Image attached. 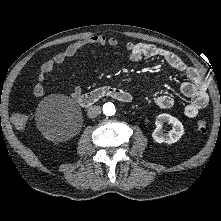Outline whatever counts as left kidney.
<instances>
[{
    "instance_id": "left-kidney-1",
    "label": "left kidney",
    "mask_w": 221,
    "mask_h": 221,
    "mask_svg": "<svg viewBox=\"0 0 221 221\" xmlns=\"http://www.w3.org/2000/svg\"><path fill=\"white\" fill-rule=\"evenodd\" d=\"M167 122L173 127L168 133L162 131L163 123ZM156 129L152 133L153 139L158 143L172 144L177 142L184 133V127L182 123L170 114H160L156 117Z\"/></svg>"
}]
</instances>
